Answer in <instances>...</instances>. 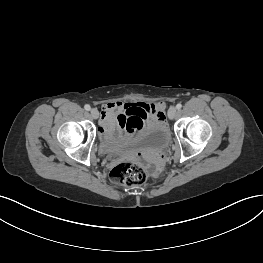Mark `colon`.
Masks as SVG:
<instances>
[{"label":"colon","instance_id":"5ec220e1","mask_svg":"<svg viewBox=\"0 0 263 263\" xmlns=\"http://www.w3.org/2000/svg\"><path fill=\"white\" fill-rule=\"evenodd\" d=\"M114 182L126 187L142 184L146 179L145 171L138 161H126L116 165L111 173Z\"/></svg>","mask_w":263,"mask_h":263}]
</instances>
